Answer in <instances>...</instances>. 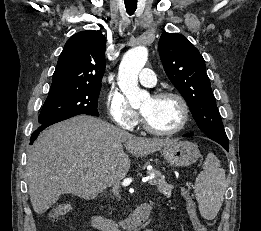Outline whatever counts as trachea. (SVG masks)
<instances>
[{
	"label": "trachea",
	"instance_id": "trachea-1",
	"mask_svg": "<svg viewBox=\"0 0 261 231\" xmlns=\"http://www.w3.org/2000/svg\"><path fill=\"white\" fill-rule=\"evenodd\" d=\"M125 7L127 10V13L129 15H132L135 10L137 9V0L131 1V0H125Z\"/></svg>",
	"mask_w": 261,
	"mask_h": 231
}]
</instances>
